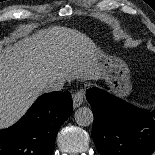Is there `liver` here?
Returning a JSON list of instances; mask_svg holds the SVG:
<instances>
[{
  "instance_id": "6515ba94",
  "label": "liver",
  "mask_w": 155,
  "mask_h": 155,
  "mask_svg": "<svg viewBox=\"0 0 155 155\" xmlns=\"http://www.w3.org/2000/svg\"><path fill=\"white\" fill-rule=\"evenodd\" d=\"M103 79L92 41L54 26L0 47V129L14 124L50 81Z\"/></svg>"
}]
</instances>
